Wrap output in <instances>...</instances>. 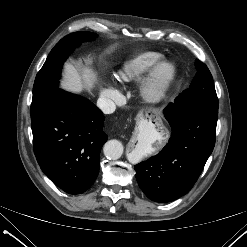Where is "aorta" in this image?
Listing matches in <instances>:
<instances>
[{
	"label": "aorta",
	"instance_id": "obj_1",
	"mask_svg": "<svg viewBox=\"0 0 247 247\" xmlns=\"http://www.w3.org/2000/svg\"><path fill=\"white\" fill-rule=\"evenodd\" d=\"M103 152L108 159L117 160L123 154V145L118 140H109L105 143Z\"/></svg>",
	"mask_w": 247,
	"mask_h": 247
}]
</instances>
